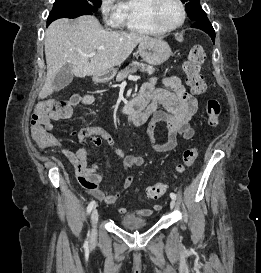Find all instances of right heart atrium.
Masks as SVG:
<instances>
[{
  "label": "right heart atrium",
  "instance_id": "1",
  "mask_svg": "<svg viewBox=\"0 0 261 273\" xmlns=\"http://www.w3.org/2000/svg\"><path fill=\"white\" fill-rule=\"evenodd\" d=\"M100 9L104 19L110 24H117L118 0H101Z\"/></svg>",
  "mask_w": 261,
  "mask_h": 273
}]
</instances>
